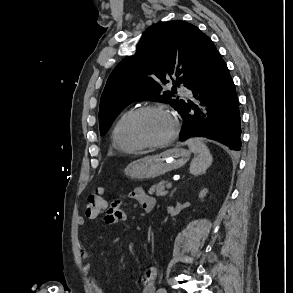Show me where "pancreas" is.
I'll return each mask as SVG.
<instances>
[{
  "label": "pancreas",
  "instance_id": "obj_1",
  "mask_svg": "<svg viewBox=\"0 0 293 293\" xmlns=\"http://www.w3.org/2000/svg\"><path fill=\"white\" fill-rule=\"evenodd\" d=\"M167 187V182L166 181H161L157 185H153L148 193L150 195L156 194V196H165L168 191L166 190Z\"/></svg>",
  "mask_w": 293,
  "mask_h": 293
}]
</instances>
